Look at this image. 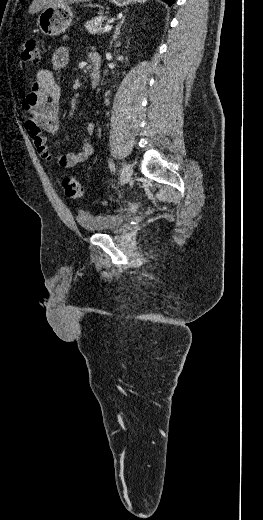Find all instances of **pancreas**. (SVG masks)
I'll return each mask as SVG.
<instances>
[{
  "label": "pancreas",
  "instance_id": "obj_1",
  "mask_svg": "<svg viewBox=\"0 0 263 520\" xmlns=\"http://www.w3.org/2000/svg\"><path fill=\"white\" fill-rule=\"evenodd\" d=\"M107 20L106 16H96L85 23L87 31L91 34L100 33L103 31L102 21Z\"/></svg>",
  "mask_w": 263,
  "mask_h": 520
}]
</instances>
